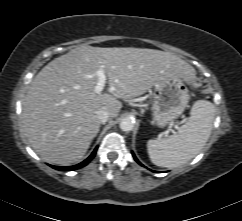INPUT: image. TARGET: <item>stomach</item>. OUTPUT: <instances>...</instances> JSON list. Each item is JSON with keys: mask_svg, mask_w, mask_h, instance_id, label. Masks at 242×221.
Returning <instances> with one entry per match:
<instances>
[{"mask_svg": "<svg viewBox=\"0 0 242 221\" xmlns=\"http://www.w3.org/2000/svg\"><path fill=\"white\" fill-rule=\"evenodd\" d=\"M153 87V120L164 127L184 112L190 99L189 91L181 77L165 78Z\"/></svg>", "mask_w": 242, "mask_h": 221, "instance_id": "stomach-1", "label": "stomach"}]
</instances>
